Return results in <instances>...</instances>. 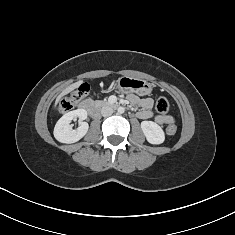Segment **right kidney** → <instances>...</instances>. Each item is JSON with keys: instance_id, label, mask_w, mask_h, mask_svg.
Segmentation results:
<instances>
[{"instance_id": "1", "label": "right kidney", "mask_w": 235, "mask_h": 235, "mask_svg": "<svg viewBox=\"0 0 235 235\" xmlns=\"http://www.w3.org/2000/svg\"><path fill=\"white\" fill-rule=\"evenodd\" d=\"M79 118V127L73 129L70 124L73 119ZM87 118V111L77 109L63 115L55 125L54 137L61 143H75L83 138L89 128V125L84 120Z\"/></svg>"}]
</instances>
